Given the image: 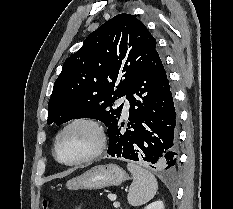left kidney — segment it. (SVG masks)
Instances as JSON below:
<instances>
[{
    "instance_id": "left-kidney-1",
    "label": "left kidney",
    "mask_w": 233,
    "mask_h": 209,
    "mask_svg": "<svg viewBox=\"0 0 233 209\" xmlns=\"http://www.w3.org/2000/svg\"><path fill=\"white\" fill-rule=\"evenodd\" d=\"M144 209H164V204L162 201L158 200L147 205Z\"/></svg>"
}]
</instances>
